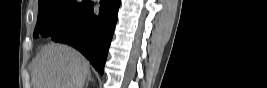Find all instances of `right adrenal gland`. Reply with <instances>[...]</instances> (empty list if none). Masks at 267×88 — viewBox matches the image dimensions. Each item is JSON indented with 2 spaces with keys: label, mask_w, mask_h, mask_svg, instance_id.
Listing matches in <instances>:
<instances>
[{
  "label": "right adrenal gland",
  "mask_w": 267,
  "mask_h": 88,
  "mask_svg": "<svg viewBox=\"0 0 267 88\" xmlns=\"http://www.w3.org/2000/svg\"><path fill=\"white\" fill-rule=\"evenodd\" d=\"M94 79L91 77V72L88 74L87 76V80H86V84H85V88H88V82L89 81H93Z\"/></svg>",
  "instance_id": "obj_1"
}]
</instances>
